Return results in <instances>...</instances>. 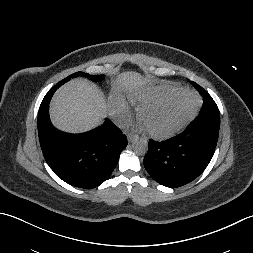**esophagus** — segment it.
Wrapping results in <instances>:
<instances>
[{
    "instance_id": "34e87169",
    "label": "esophagus",
    "mask_w": 253,
    "mask_h": 253,
    "mask_svg": "<svg viewBox=\"0 0 253 253\" xmlns=\"http://www.w3.org/2000/svg\"><path fill=\"white\" fill-rule=\"evenodd\" d=\"M137 138H138V136H137V135H133V134H129V135L127 136V139H128V142H129V143L133 142V141L136 140Z\"/></svg>"
}]
</instances>
